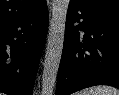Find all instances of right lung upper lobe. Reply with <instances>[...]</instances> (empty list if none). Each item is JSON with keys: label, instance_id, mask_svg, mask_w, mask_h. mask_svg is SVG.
Listing matches in <instances>:
<instances>
[{"label": "right lung upper lobe", "instance_id": "1", "mask_svg": "<svg viewBox=\"0 0 119 95\" xmlns=\"http://www.w3.org/2000/svg\"><path fill=\"white\" fill-rule=\"evenodd\" d=\"M45 0H0V25L35 10Z\"/></svg>", "mask_w": 119, "mask_h": 95}]
</instances>
